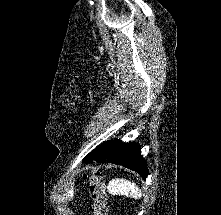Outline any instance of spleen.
<instances>
[{
    "mask_svg": "<svg viewBox=\"0 0 221 215\" xmlns=\"http://www.w3.org/2000/svg\"><path fill=\"white\" fill-rule=\"evenodd\" d=\"M107 189L113 195H124L132 198L142 196L139 187L126 179H113L109 182Z\"/></svg>",
    "mask_w": 221,
    "mask_h": 215,
    "instance_id": "spleen-1",
    "label": "spleen"
}]
</instances>
